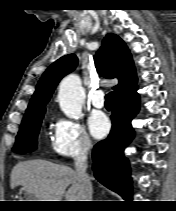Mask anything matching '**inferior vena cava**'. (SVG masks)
Wrapping results in <instances>:
<instances>
[{
	"label": "inferior vena cava",
	"instance_id": "602c4592",
	"mask_svg": "<svg viewBox=\"0 0 176 211\" xmlns=\"http://www.w3.org/2000/svg\"><path fill=\"white\" fill-rule=\"evenodd\" d=\"M91 148L90 143H84L80 152L75 158V168L79 177V180L83 187V199L82 201H91L92 198V185L90 178L86 173L87 170V155Z\"/></svg>",
	"mask_w": 176,
	"mask_h": 211
}]
</instances>
